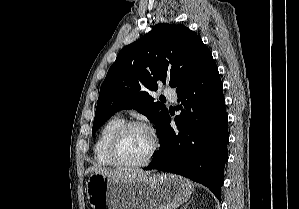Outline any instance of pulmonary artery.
I'll list each match as a JSON object with an SVG mask.
<instances>
[{"mask_svg":"<svg viewBox=\"0 0 299 209\" xmlns=\"http://www.w3.org/2000/svg\"><path fill=\"white\" fill-rule=\"evenodd\" d=\"M163 94L166 98H168L171 101H175L177 99L176 92L171 88H164Z\"/></svg>","mask_w":299,"mask_h":209,"instance_id":"pulmonary-artery-1","label":"pulmonary artery"}]
</instances>
